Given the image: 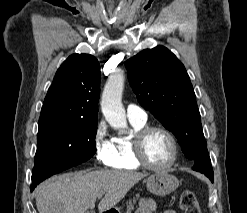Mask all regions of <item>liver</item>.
Here are the masks:
<instances>
[{
  "label": "liver",
  "instance_id": "1",
  "mask_svg": "<svg viewBox=\"0 0 247 213\" xmlns=\"http://www.w3.org/2000/svg\"><path fill=\"white\" fill-rule=\"evenodd\" d=\"M147 174L121 170L67 173L49 179L36 191L39 213H86L98 204L100 213L111 209Z\"/></svg>",
  "mask_w": 247,
  "mask_h": 213
}]
</instances>
